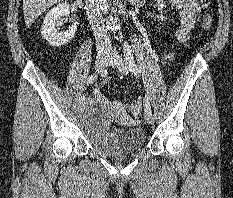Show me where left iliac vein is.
<instances>
[{
    "instance_id": "4c4485c4",
    "label": "left iliac vein",
    "mask_w": 233,
    "mask_h": 198,
    "mask_svg": "<svg viewBox=\"0 0 233 198\" xmlns=\"http://www.w3.org/2000/svg\"><path fill=\"white\" fill-rule=\"evenodd\" d=\"M108 64L118 69L121 73L127 74L128 69L126 64L124 63L123 59L118 55V53L113 50L110 53ZM145 120L148 124L154 123V115L152 111H146L145 110Z\"/></svg>"
}]
</instances>
